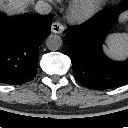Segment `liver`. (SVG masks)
I'll list each match as a JSON object with an SVG mask.
<instances>
[{
    "instance_id": "1",
    "label": "liver",
    "mask_w": 128,
    "mask_h": 128,
    "mask_svg": "<svg viewBox=\"0 0 128 128\" xmlns=\"http://www.w3.org/2000/svg\"><path fill=\"white\" fill-rule=\"evenodd\" d=\"M33 2L34 0H0V10L6 11L9 15L22 13Z\"/></svg>"
}]
</instances>
